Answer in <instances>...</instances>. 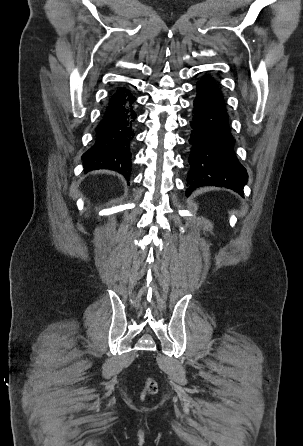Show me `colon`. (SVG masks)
Instances as JSON below:
<instances>
[{"label":"colon","mask_w":303,"mask_h":446,"mask_svg":"<svg viewBox=\"0 0 303 446\" xmlns=\"http://www.w3.org/2000/svg\"><path fill=\"white\" fill-rule=\"evenodd\" d=\"M156 392L157 383L152 378H148L144 387V395H153Z\"/></svg>","instance_id":"5ec220e1"}]
</instances>
